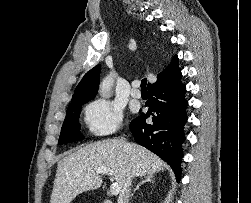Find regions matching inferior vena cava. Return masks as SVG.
I'll use <instances>...</instances> for the list:
<instances>
[{
  "mask_svg": "<svg viewBox=\"0 0 251 203\" xmlns=\"http://www.w3.org/2000/svg\"><path fill=\"white\" fill-rule=\"evenodd\" d=\"M132 183V177L129 176L123 186V189L119 196V203H128L129 202V196H130V186Z\"/></svg>",
  "mask_w": 251,
  "mask_h": 203,
  "instance_id": "obj_1",
  "label": "inferior vena cava"
}]
</instances>
